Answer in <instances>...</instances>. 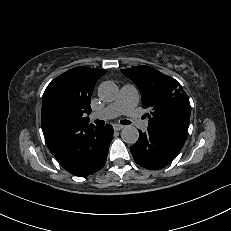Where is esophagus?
<instances>
[{"label": "esophagus", "instance_id": "1", "mask_svg": "<svg viewBox=\"0 0 231 231\" xmlns=\"http://www.w3.org/2000/svg\"><path fill=\"white\" fill-rule=\"evenodd\" d=\"M113 128L115 131H119V130H122L124 128V126L120 125V124H114Z\"/></svg>", "mask_w": 231, "mask_h": 231}]
</instances>
